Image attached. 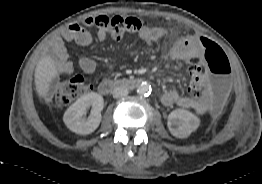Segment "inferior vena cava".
Instances as JSON below:
<instances>
[{
	"instance_id": "obj_1",
	"label": "inferior vena cava",
	"mask_w": 262,
	"mask_h": 184,
	"mask_svg": "<svg viewBox=\"0 0 262 184\" xmlns=\"http://www.w3.org/2000/svg\"><path fill=\"white\" fill-rule=\"evenodd\" d=\"M129 93L128 89L124 86H120V87H116L114 90H113V97L114 98H122L124 96H127Z\"/></svg>"
}]
</instances>
